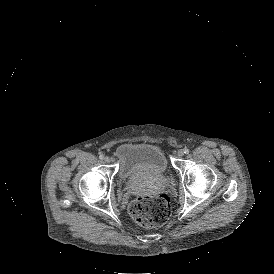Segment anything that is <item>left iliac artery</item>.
<instances>
[{
  "label": "left iliac artery",
  "instance_id": "1",
  "mask_svg": "<svg viewBox=\"0 0 274 274\" xmlns=\"http://www.w3.org/2000/svg\"><path fill=\"white\" fill-rule=\"evenodd\" d=\"M189 152H190L189 149H184L185 154H188Z\"/></svg>",
  "mask_w": 274,
  "mask_h": 274
}]
</instances>
